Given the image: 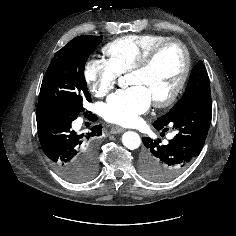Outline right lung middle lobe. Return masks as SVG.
<instances>
[{"label": "right lung middle lobe", "mask_w": 236, "mask_h": 236, "mask_svg": "<svg viewBox=\"0 0 236 236\" xmlns=\"http://www.w3.org/2000/svg\"><path fill=\"white\" fill-rule=\"evenodd\" d=\"M101 40L100 36H79L55 54L42 81L38 107L60 108L77 114L84 111L83 102L91 101L84 67ZM96 169L97 158L93 157L81 168L78 181L90 179Z\"/></svg>", "instance_id": "dd1d6c3e"}]
</instances>
